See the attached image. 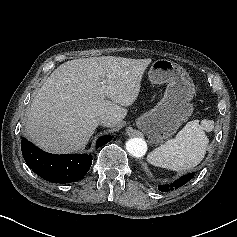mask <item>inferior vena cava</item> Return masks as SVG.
<instances>
[{
    "mask_svg": "<svg viewBox=\"0 0 237 237\" xmlns=\"http://www.w3.org/2000/svg\"><path fill=\"white\" fill-rule=\"evenodd\" d=\"M96 122L100 125H108L113 123V118L110 116L100 115L96 118Z\"/></svg>",
    "mask_w": 237,
    "mask_h": 237,
    "instance_id": "602c4592",
    "label": "inferior vena cava"
}]
</instances>
